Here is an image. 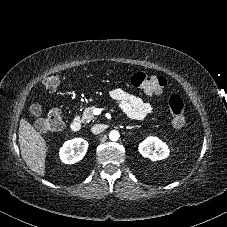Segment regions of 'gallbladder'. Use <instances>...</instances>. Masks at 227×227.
<instances>
[{
  "mask_svg": "<svg viewBox=\"0 0 227 227\" xmlns=\"http://www.w3.org/2000/svg\"><path fill=\"white\" fill-rule=\"evenodd\" d=\"M30 112H31L32 114L37 115V114H39V112H40V107H36V105H32V106L30 107Z\"/></svg>",
  "mask_w": 227,
  "mask_h": 227,
  "instance_id": "bac80fb5",
  "label": "gallbladder"
}]
</instances>
